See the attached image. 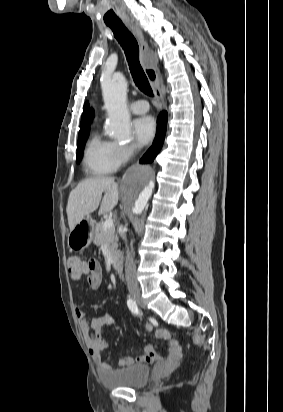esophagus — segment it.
I'll return each instance as SVG.
<instances>
[{"instance_id":"esophagus-1","label":"esophagus","mask_w":283,"mask_h":412,"mask_svg":"<svg viewBox=\"0 0 283 412\" xmlns=\"http://www.w3.org/2000/svg\"><path fill=\"white\" fill-rule=\"evenodd\" d=\"M125 23L132 30V32L134 33L139 42L142 67L147 78L149 79L154 88V93L156 97L158 98V100L162 101L163 95L160 88L161 82L158 78V72L156 70L157 65L148 57L149 48L146 40L144 39L143 33L140 30V28L136 24H134L132 20H126Z\"/></svg>"}]
</instances>
